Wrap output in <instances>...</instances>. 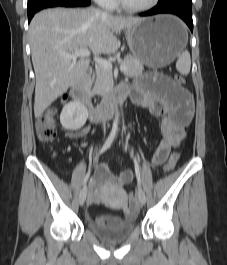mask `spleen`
Returning a JSON list of instances; mask_svg holds the SVG:
<instances>
[{"label": "spleen", "mask_w": 227, "mask_h": 265, "mask_svg": "<svg viewBox=\"0 0 227 265\" xmlns=\"http://www.w3.org/2000/svg\"><path fill=\"white\" fill-rule=\"evenodd\" d=\"M191 68V58L188 50H183L176 62V69L182 75H188Z\"/></svg>", "instance_id": "3e777b00"}]
</instances>
